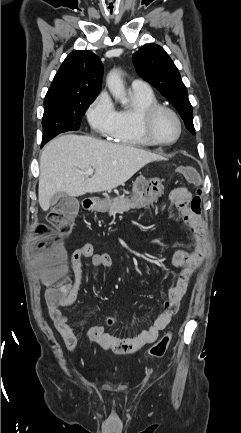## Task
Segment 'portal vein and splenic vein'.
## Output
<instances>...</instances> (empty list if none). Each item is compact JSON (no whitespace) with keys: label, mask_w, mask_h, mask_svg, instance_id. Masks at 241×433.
<instances>
[{"label":"portal vein and splenic vein","mask_w":241,"mask_h":433,"mask_svg":"<svg viewBox=\"0 0 241 433\" xmlns=\"http://www.w3.org/2000/svg\"><path fill=\"white\" fill-rule=\"evenodd\" d=\"M93 173H94V170L92 168H89L84 172L85 175H92Z\"/></svg>","instance_id":"1"}]
</instances>
